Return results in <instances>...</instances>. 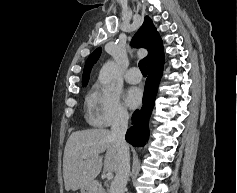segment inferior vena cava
Returning <instances> with one entry per match:
<instances>
[{
    "mask_svg": "<svg viewBox=\"0 0 237 193\" xmlns=\"http://www.w3.org/2000/svg\"><path fill=\"white\" fill-rule=\"evenodd\" d=\"M128 119L129 115L127 112H119L111 127V135L115 138L119 147L121 163L115 178L111 183L110 193H124L129 177L130 153L128 144L125 140V134L128 129Z\"/></svg>",
    "mask_w": 237,
    "mask_h": 193,
    "instance_id": "602c4592",
    "label": "inferior vena cava"
}]
</instances>
